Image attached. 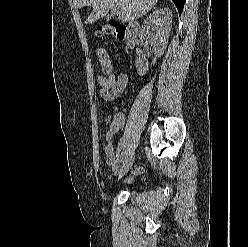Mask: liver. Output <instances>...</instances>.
<instances>
[{
	"label": "liver",
	"instance_id": "obj_1",
	"mask_svg": "<svg viewBox=\"0 0 248 247\" xmlns=\"http://www.w3.org/2000/svg\"><path fill=\"white\" fill-rule=\"evenodd\" d=\"M157 3V0H74L76 8L91 6L93 12L87 19V23H93L104 17L111 10L119 14L124 21H133L149 12Z\"/></svg>",
	"mask_w": 248,
	"mask_h": 247
}]
</instances>
